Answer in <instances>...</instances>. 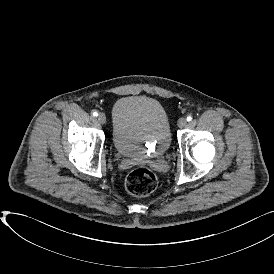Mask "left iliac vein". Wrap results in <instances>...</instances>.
Instances as JSON below:
<instances>
[{
	"mask_svg": "<svg viewBox=\"0 0 274 274\" xmlns=\"http://www.w3.org/2000/svg\"><path fill=\"white\" fill-rule=\"evenodd\" d=\"M177 125L180 127V128H183L187 125V120L185 118H180L177 122Z\"/></svg>",
	"mask_w": 274,
	"mask_h": 274,
	"instance_id": "obj_1",
	"label": "left iliac vein"
}]
</instances>
